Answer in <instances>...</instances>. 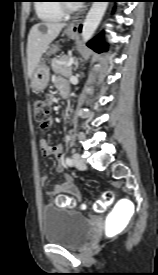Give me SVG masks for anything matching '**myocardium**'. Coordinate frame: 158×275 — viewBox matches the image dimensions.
Returning a JSON list of instances; mask_svg holds the SVG:
<instances>
[{
  "label": "myocardium",
  "instance_id": "myocardium-1",
  "mask_svg": "<svg viewBox=\"0 0 158 275\" xmlns=\"http://www.w3.org/2000/svg\"><path fill=\"white\" fill-rule=\"evenodd\" d=\"M60 6H61V9L63 10V12H66V13H71V12H74L75 10H77V6H75L73 4H69V3H61Z\"/></svg>",
  "mask_w": 158,
  "mask_h": 275
}]
</instances>
